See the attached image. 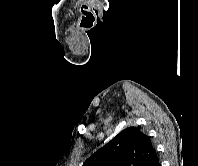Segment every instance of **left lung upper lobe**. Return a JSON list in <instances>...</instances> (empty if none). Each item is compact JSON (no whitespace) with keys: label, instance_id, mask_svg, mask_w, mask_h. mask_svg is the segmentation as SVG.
<instances>
[{"label":"left lung upper lobe","instance_id":"left-lung-upper-lobe-1","mask_svg":"<svg viewBox=\"0 0 198 166\" xmlns=\"http://www.w3.org/2000/svg\"><path fill=\"white\" fill-rule=\"evenodd\" d=\"M156 157L150 138L140 129L129 127L91 155L83 166H151Z\"/></svg>","mask_w":198,"mask_h":166}]
</instances>
